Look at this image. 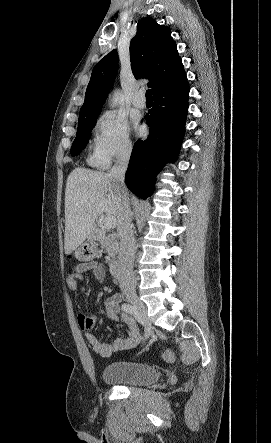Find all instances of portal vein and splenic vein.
<instances>
[{"mask_svg":"<svg viewBox=\"0 0 271 443\" xmlns=\"http://www.w3.org/2000/svg\"><path fill=\"white\" fill-rule=\"evenodd\" d=\"M105 227H115L117 225V220L114 216H107L104 220Z\"/></svg>","mask_w":271,"mask_h":443,"instance_id":"obj_1","label":"portal vein and splenic vein"}]
</instances>
